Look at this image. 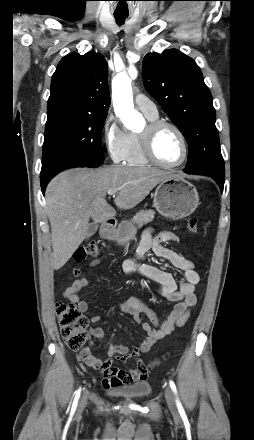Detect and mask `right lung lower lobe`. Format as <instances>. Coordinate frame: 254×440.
Instances as JSON below:
<instances>
[{
	"label": "right lung lower lobe",
	"mask_w": 254,
	"mask_h": 440,
	"mask_svg": "<svg viewBox=\"0 0 254 440\" xmlns=\"http://www.w3.org/2000/svg\"><path fill=\"white\" fill-rule=\"evenodd\" d=\"M40 182H41V189H42V192L44 193L45 188H46V185H47V183H48L49 181H47V180H45V181H41V180H40Z\"/></svg>",
	"instance_id": "98d812e1"
}]
</instances>
